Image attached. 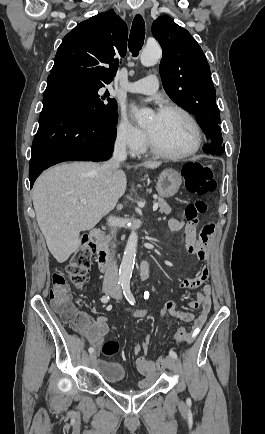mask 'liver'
Segmentation results:
<instances>
[{
    "label": "liver",
    "mask_w": 265,
    "mask_h": 434,
    "mask_svg": "<svg viewBox=\"0 0 265 434\" xmlns=\"http://www.w3.org/2000/svg\"><path fill=\"white\" fill-rule=\"evenodd\" d=\"M160 164L144 162L142 166L153 170ZM98 168L93 162L60 164L41 174L34 184L32 200L38 226L59 264L81 246L80 232L92 230L125 194L123 170H114L108 184H103Z\"/></svg>",
    "instance_id": "liver-1"
}]
</instances>
